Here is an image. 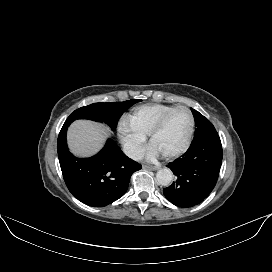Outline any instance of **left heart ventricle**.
<instances>
[{
	"instance_id": "1",
	"label": "left heart ventricle",
	"mask_w": 272,
	"mask_h": 272,
	"mask_svg": "<svg viewBox=\"0 0 272 272\" xmlns=\"http://www.w3.org/2000/svg\"><path fill=\"white\" fill-rule=\"evenodd\" d=\"M190 120L183 110L172 113L161 131L153 138L152 145L160 154L178 149L185 142L189 132Z\"/></svg>"
}]
</instances>
